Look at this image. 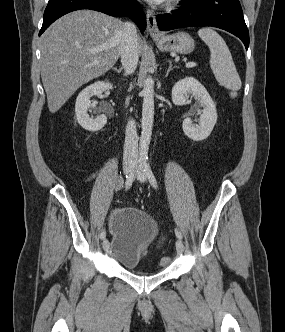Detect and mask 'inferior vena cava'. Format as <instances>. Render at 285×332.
I'll return each mask as SVG.
<instances>
[{
	"instance_id": "inferior-vena-cava-1",
	"label": "inferior vena cava",
	"mask_w": 285,
	"mask_h": 332,
	"mask_svg": "<svg viewBox=\"0 0 285 332\" xmlns=\"http://www.w3.org/2000/svg\"><path fill=\"white\" fill-rule=\"evenodd\" d=\"M138 36L134 23L125 22L123 26V40L121 44V63L125 75L133 73L138 64ZM138 160V137L133 120H129L125 132L124 163H135Z\"/></svg>"
}]
</instances>
